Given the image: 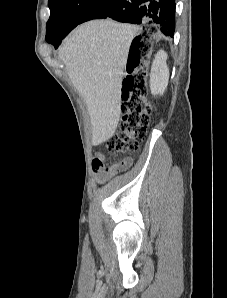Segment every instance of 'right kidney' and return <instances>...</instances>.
<instances>
[{"label":"right kidney","mask_w":227,"mask_h":298,"mask_svg":"<svg viewBox=\"0 0 227 298\" xmlns=\"http://www.w3.org/2000/svg\"><path fill=\"white\" fill-rule=\"evenodd\" d=\"M167 54L160 50L152 63L150 73V90L153 95H163L169 80V69L166 64Z\"/></svg>","instance_id":"right-kidney-1"}]
</instances>
